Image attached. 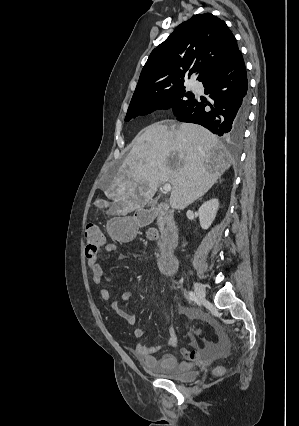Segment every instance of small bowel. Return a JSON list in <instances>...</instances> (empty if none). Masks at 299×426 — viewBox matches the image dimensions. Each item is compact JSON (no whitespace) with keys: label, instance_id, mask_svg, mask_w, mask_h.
<instances>
[{"label":"small bowel","instance_id":"1","mask_svg":"<svg viewBox=\"0 0 299 426\" xmlns=\"http://www.w3.org/2000/svg\"><path fill=\"white\" fill-rule=\"evenodd\" d=\"M117 251V245L115 243L105 244L94 256L88 258V268L91 273L92 281L94 284L100 287L101 298L108 302L111 308L120 316L129 326L136 324V316L124 310L122 304L133 297V292L130 290L124 291L120 298H112L110 291L104 286L105 283L112 282V279L106 276L103 268L98 263V259L101 255L112 254ZM181 313L189 314L185 308L181 309ZM133 335L136 338H141L144 335V331L137 327L133 330ZM177 343L176 333L172 327L169 328V339L167 345L170 347L175 346ZM219 343L205 341L200 345L196 340L191 341L190 349H183V359L178 361L173 355L165 354L161 358H156L155 354L162 349V346H146L144 344H137L133 350L134 355L138 358L140 363L146 367H158L164 369H181L188 370L196 364L204 363L208 361L218 350Z\"/></svg>","mask_w":299,"mask_h":426}]
</instances>
